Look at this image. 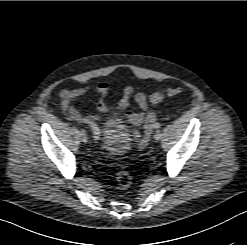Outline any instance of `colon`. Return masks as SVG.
Here are the masks:
<instances>
[{"label":"colon","mask_w":247,"mask_h":245,"mask_svg":"<svg viewBox=\"0 0 247 245\" xmlns=\"http://www.w3.org/2000/svg\"><path fill=\"white\" fill-rule=\"evenodd\" d=\"M180 89L179 88H175V87H171L168 88L164 94L162 93H153L150 96V102L152 104H159L161 103L166 97H172V96H176L180 93ZM116 181L118 183V185L122 188V189H127L130 187L131 183H132V178L130 175V172L128 171L127 168L123 167L121 168L116 176Z\"/></svg>","instance_id":"colon-1"}]
</instances>
